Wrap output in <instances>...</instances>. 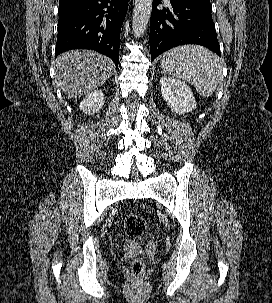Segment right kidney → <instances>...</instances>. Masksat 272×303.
<instances>
[{"instance_id": "obj_1", "label": "right kidney", "mask_w": 272, "mask_h": 303, "mask_svg": "<svg viewBox=\"0 0 272 303\" xmlns=\"http://www.w3.org/2000/svg\"><path fill=\"white\" fill-rule=\"evenodd\" d=\"M104 104V94L101 90L89 93L80 103L79 108L85 114L92 115L99 112Z\"/></svg>"}]
</instances>
